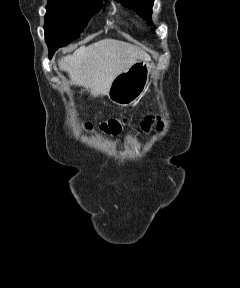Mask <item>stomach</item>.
Returning <instances> with one entry per match:
<instances>
[{
    "label": "stomach",
    "mask_w": 240,
    "mask_h": 288,
    "mask_svg": "<svg viewBox=\"0 0 240 288\" xmlns=\"http://www.w3.org/2000/svg\"><path fill=\"white\" fill-rule=\"evenodd\" d=\"M150 63L138 60L113 80L109 89L110 101L125 107L136 103L145 93L149 81Z\"/></svg>",
    "instance_id": "stomach-1"
}]
</instances>
